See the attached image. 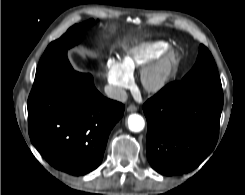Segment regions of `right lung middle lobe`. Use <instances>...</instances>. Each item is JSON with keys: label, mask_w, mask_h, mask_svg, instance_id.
<instances>
[{"label": "right lung middle lobe", "mask_w": 245, "mask_h": 195, "mask_svg": "<svg viewBox=\"0 0 245 195\" xmlns=\"http://www.w3.org/2000/svg\"><path fill=\"white\" fill-rule=\"evenodd\" d=\"M93 23V20H89L74 25L61 38L49 44L38 64L33 88H40L56 79L75 73L68 61L67 50L79 42L87 27Z\"/></svg>", "instance_id": "right-lung-middle-lobe-1"}]
</instances>
